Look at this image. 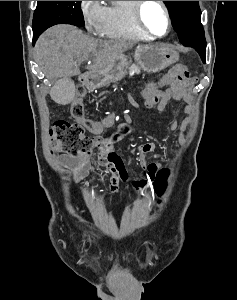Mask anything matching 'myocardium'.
<instances>
[{"label": "myocardium", "mask_w": 237, "mask_h": 300, "mask_svg": "<svg viewBox=\"0 0 237 300\" xmlns=\"http://www.w3.org/2000/svg\"><path fill=\"white\" fill-rule=\"evenodd\" d=\"M157 2L160 4V6L163 9L165 19H166V24H167L166 31L163 35H157L153 33L144 22L143 11L148 1H136L134 6V15L138 26L142 29L144 33H146L148 36H151L153 38L162 39L168 36V34L170 33L172 28V21H171L170 10L166 2L165 1H157Z\"/></svg>", "instance_id": "myocardium-1"}]
</instances>
